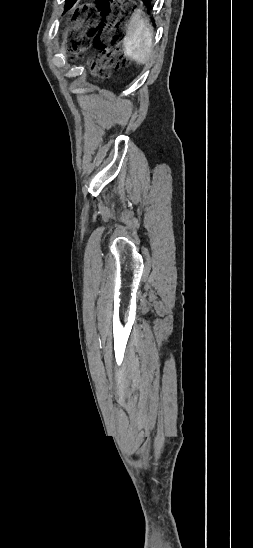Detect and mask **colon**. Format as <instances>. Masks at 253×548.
Instances as JSON below:
<instances>
[{
    "instance_id": "obj_1",
    "label": "colon",
    "mask_w": 253,
    "mask_h": 548,
    "mask_svg": "<svg viewBox=\"0 0 253 548\" xmlns=\"http://www.w3.org/2000/svg\"><path fill=\"white\" fill-rule=\"evenodd\" d=\"M133 11L131 0H95L76 10L69 49L78 55L93 44L99 51L98 57L92 62L96 76L106 78L110 71L129 64L120 43L123 39V25Z\"/></svg>"
}]
</instances>
